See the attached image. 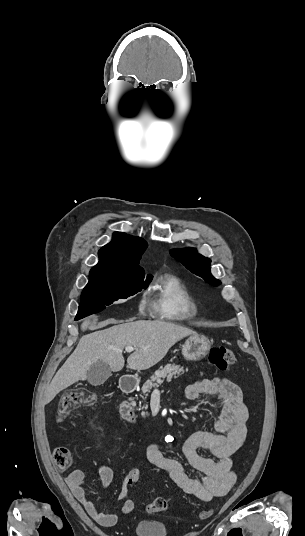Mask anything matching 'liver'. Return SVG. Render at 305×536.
Here are the masks:
<instances>
[{
  "mask_svg": "<svg viewBox=\"0 0 305 536\" xmlns=\"http://www.w3.org/2000/svg\"><path fill=\"white\" fill-rule=\"evenodd\" d=\"M135 318L128 320L129 324H119L112 326L101 332H93L82 336L73 354L69 356L62 368L58 370L51 384L45 390L44 404H49L55 396L72 386L79 380H87V372L96 362H106L112 372L123 370L125 360L122 352L126 346H134L135 352L127 358L130 370H148L158 364L168 350L183 340L186 336H195L196 332L176 326L170 322L161 320H138ZM90 320H84L81 324L82 332L87 330ZM107 324H118L116 320H105L103 326Z\"/></svg>",
  "mask_w": 305,
  "mask_h": 536,
  "instance_id": "1",
  "label": "liver"
}]
</instances>
